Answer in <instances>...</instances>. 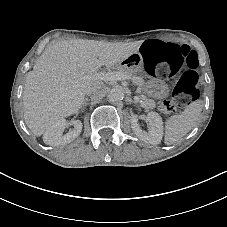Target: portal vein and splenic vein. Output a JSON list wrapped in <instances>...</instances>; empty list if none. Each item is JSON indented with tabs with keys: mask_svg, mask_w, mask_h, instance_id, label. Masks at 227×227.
<instances>
[{
	"mask_svg": "<svg viewBox=\"0 0 227 227\" xmlns=\"http://www.w3.org/2000/svg\"><path fill=\"white\" fill-rule=\"evenodd\" d=\"M93 77L96 78V79H99V80H103V81H114V82L131 79L130 75H127V74L120 72V71L99 72V73H95L93 75ZM134 102L136 104H139V97L138 96L134 97Z\"/></svg>",
	"mask_w": 227,
	"mask_h": 227,
	"instance_id": "portal-vein-and-splenic-vein-1",
	"label": "portal vein and splenic vein"
}]
</instances>
